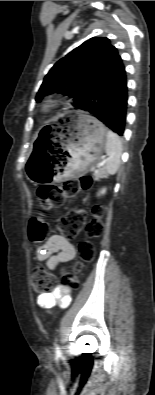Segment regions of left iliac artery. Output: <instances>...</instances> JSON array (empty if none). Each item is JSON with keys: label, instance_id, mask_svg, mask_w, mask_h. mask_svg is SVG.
<instances>
[{"label": "left iliac artery", "instance_id": "left-iliac-artery-1", "mask_svg": "<svg viewBox=\"0 0 155 395\" xmlns=\"http://www.w3.org/2000/svg\"><path fill=\"white\" fill-rule=\"evenodd\" d=\"M56 357H61V350L59 345L56 346Z\"/></svg>", "mask_w": 155, "mask_h": 395}]
</instances>
